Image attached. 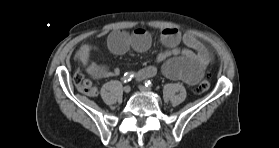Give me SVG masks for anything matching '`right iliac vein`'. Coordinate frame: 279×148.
<instances>
[{"instance_id":"right-iliac-vein-1","label":"right iliac vein","mask_w":279,"mask_h":148,"mask_svg":"<svg viewBox=\"0 0 279 148\" xmlns=\"http://www.w3.org/2000/svg\"><path fill=\"white\" fill-rule=\"evenodd\" d=\"M123 90H124L125 93H129L131 91V87L130 86H125Z\"/></svg>"}]
</instances>
